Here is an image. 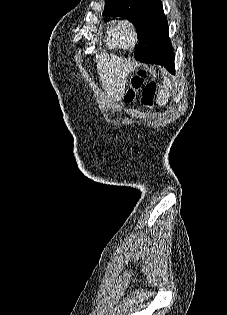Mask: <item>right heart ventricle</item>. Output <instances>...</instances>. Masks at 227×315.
<instances>
[{
  "label": "right heart ventricle",
  "instance_id": "obj_1",
  "mask_svg": "<svg viewBox=\"0 0 227 315\" xmlns=\"http://www.w3.org/2000/svg\"><path fill=\"white\" fill-rule=\"evenodd\" d=\"M117 22L113 21L108 24L107 31H106V43L110 48H118L120 47L117 33Z\"/></svg>",
  "mask_w": 227,
  "mask_h": 315
}]
</instances>
